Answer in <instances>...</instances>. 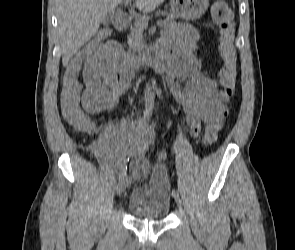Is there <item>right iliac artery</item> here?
<instances>
[{"mask_svg": "<svg viewBox=\"0 0 295 250\" xmlns=\"http://www.w3.org/2000/svg\"><path fill=\"white\" fill-rule=\"evenodd\" d=\"M149 118H150V110L146 109L143 112V122L146 123L149 120ZM125 176H126V171L122 170L119 174V180L124 179Z\"/></svg>", "mask_w": 295, "mask_h": 250, "instance_id": "right-iliac-artery-1", "label": "right iliac artery"}]
</instances>
